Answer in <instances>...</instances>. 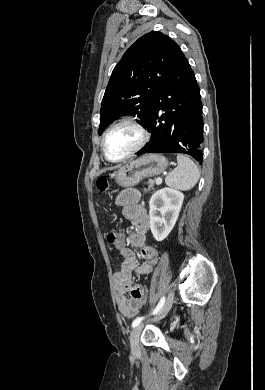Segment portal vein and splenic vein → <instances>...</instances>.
<instances>
[{"label": "portal vein and splenic vein", "instance_id": "18ae733b", "mask_svg": "<svg viewBox=\"0 0 265 390\" xmlns=\"http://www.w3.org/2000/svg\"><path fill=\"white\" fill-rule=\"evenodd\" d=\"M161 183H162V178H160V177L157 178V179H156V184L159 185V184H161Z\"/></svg>", "mask_w": 265, "mask_h": 390}]
</instances>
